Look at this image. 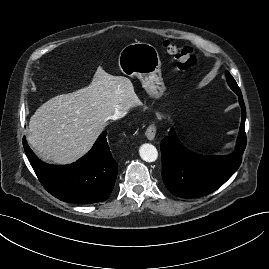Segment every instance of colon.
<instances>
[{
	"label": "colon",
	"instance_id": "colon-1",
	"mask_svg": "<svg viewBox=\"0 0 269 269\" xmlns=\"http://www.w3.org/2000/svg\"><path fill=\"white\" fill-rule=\"evenodd\" d=\"M164 48L176 59L178 69L183 73L193 71L199 64L198 57L190 46L164 42Z\"/></svg>",
	"mask_w": 269,
	"mask_h": 269
}]
</instances>
